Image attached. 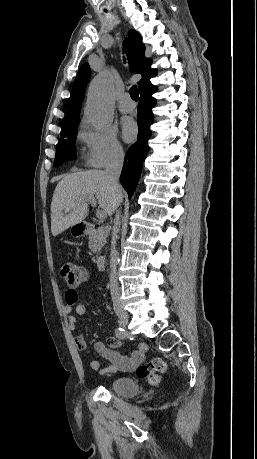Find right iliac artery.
Wrapping results in <instances>:
<instances>
[{
  "label": "right iliac artery",
  "instance_id": "82829eb1",
  "mask_svg": "<svg viewBox=\"0 0 257 459\" xmlns=\"http://www.w3.org/2000/svg\"><path fill=\"white\" fill-rule=\"evenodd\" d=\"M116 337L119 339L126 338V332L123 328L119 327L115 330Z\"/></svg>",
  "mask_w": 257,
  "mask_h": 459
}]
</instances>
